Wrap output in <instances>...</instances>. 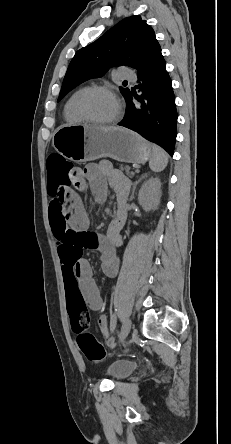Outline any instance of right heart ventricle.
<instances>
[{
	"label": "right heart ventricle",
	"instance_id": "e07e8e85",
	"mask_svg": "<svg viewBox=\"0 0 231 444\" xmlns=\"http://www.w3.org/2000/svg\"><path fill=\"white\" fill-rule=\"evenodd\" d=\"M85 88L84 86L77 88L66 100L63 108V116L66 122L71 124H80L83 122L75 111V104L78 96Z\"/></svg>",
	"mask_w": 231,
	"mask_h": 444
}]
</instances>
